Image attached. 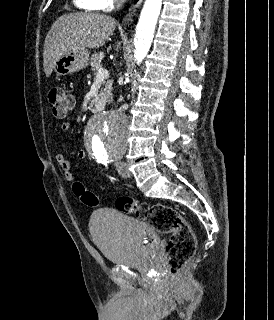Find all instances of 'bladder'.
Instances as JSON below:
<instances>
[{"instance_id":"obj_1","label":"bladder","mask_w":274,"mask_h":320,"mask_svg":"<svg viewBox=\"0 0 274 320\" xmlns=\"http://www.w3.org/2000/svg\"><path fill=\"white\" fill-rule=\"evenodd\" d=\"M89 231L104 259L116 266L146 263L159 246V237L150 224L111 209L95 211Z\"/></svg>"}]
</instances>
